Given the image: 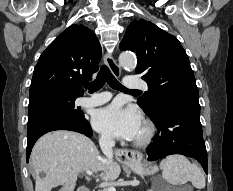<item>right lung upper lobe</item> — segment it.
<instances>
[{
    "label": "right lung upper lobe",
    "mask_w": 233,
    "mask_h": 191,
    "mask_svg": "<svg viewBox=\"0 0 233 191\" xmlns=\"http://www.w3.org/2000/svg\"><path fill=\"white\" fill-rule=\"evenodd\" d=\"M101 46L95 34L83 25L73 24L42 53L33 72L29 97L58 92L79 97L82 84L92 79L101 59Z\"/></svg>",
    "instance_id": "cb5924a9"
}]
</instances>
